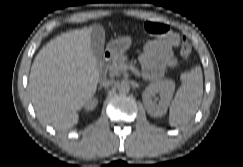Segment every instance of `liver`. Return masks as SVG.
I'll return each mask as SVG.
<instances>
[{"label":"liver","mask_w":243,"mask_h":167,"mask_svg":"<svg viewBox=\"0 0 243 167\" xmlns=\"http://www.w3.org/2000/svg\"><path fill=\"white\" fill-rule=\"evenodd\" d=\"M91 33L84 28L54 38L32 64L29 90L37 117L57 129L76 125L77 111L96 92L100 77Z\"/></svg>","instance_id":"liver-1"}]
</instances>
